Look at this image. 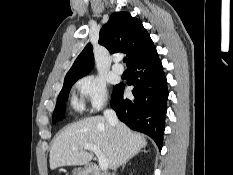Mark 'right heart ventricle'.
<instances>
[{"mask_svg": "<svg viewBox=\"0 0 233 175\" xmlns=\"http://www.w3.org/2000/svg\"><path fill=\"white\" fill-rule=\"evenodd\" d=\"M72 106L77 110L80 109V107H81L75 98L72 100Z\"/></svg>", "mask_w": 233, "mask_h": 175, "instance_id": "right-heart-ventricle-1", "label": "right heart ventricle"}]
</instances>
